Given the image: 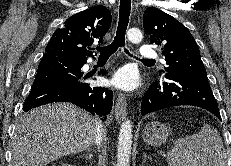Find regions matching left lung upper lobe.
<instances>
[{
	"mask_svg": "<svg viewBox=\"0 0 231 166\" xmlns=\"http://www.w3.org/2000/svg\"><path fill=\"white\" fill-rule=\"evenodd\" d=\"M143 27L150 34V43L161 45L166 67L159 71L206 75L200 51L189 30L174 17L149 7L143 14Z\"/></svg>",
	"mask_w": 231,
	"mask_h": 166,
	"instance_id": "5c2ea615",
	"label": "left lung upper lobe"
}]
</instances>
